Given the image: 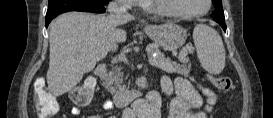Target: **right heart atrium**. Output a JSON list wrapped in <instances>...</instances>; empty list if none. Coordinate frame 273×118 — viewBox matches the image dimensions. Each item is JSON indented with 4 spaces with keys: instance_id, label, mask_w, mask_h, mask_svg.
<instances>
[{
    "instance_id": "right-heart-atrium-1",
    "label": "right heart atrium",
    "mask_w": 273,
    "mask_h": 118,
    "mask_svg": "<svg viewBox=\"0 0 273 118\" xmlns=\"http://www.w3.org/2000/svg\"><path fill=\"white\" fill-rule=\"evenodd\" d=\"M118 2L124 9H132L137 5L136 0H119Z\"/></svg>"
}]
</instances>
